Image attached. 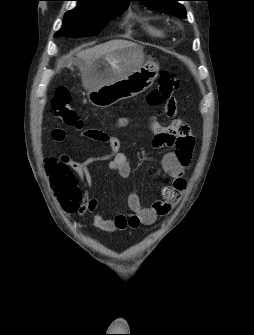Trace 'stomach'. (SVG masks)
Returning a JSON list of instances; mask_svg holds the SVG:
<instances>
[{"label": "stomach", "instance_id": "stomach-1", "mask_svg": "<svg viewBox=\"0 0 254 335\" xmlns=\"http://www.w3.org/2000/svg\"><path fill=\"white\" fill-rule=\"evenodd\" d=\"M159 72L156 63H143V49L129 46L103 56L85 75L88 100L105 108L120 100L134 97L148 89Z\"/></svg>", "mask_w": 254, "mask_h": 335}]
</instances>
